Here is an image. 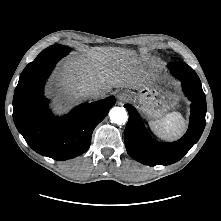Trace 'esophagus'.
<instances>
[{"label": "esophagus", "instance_id": "esophagus-1", "mask_svg": "<svg viewBox=\"0 0 221 221\" xmlns=\"http://www.w3.org/2000/svg\"><path fill=\"white\" fill-rule=\"evenodd\" d=\"M117 98H118L119 102L122 103V102L129 100L130 94L127 91H122L117 95Z\"/></svg>", "mask_w": 221, "mask_h": 221}]
</instances>
